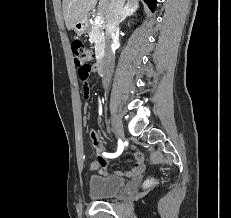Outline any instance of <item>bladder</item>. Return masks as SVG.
I'll use <instances>...</instances> for the list:
<instances>
[{
  "label": "bladder",
  "mask_w": 231,
  "mask_h": 218,
  "mask_svg": "<svg viewBox=\"0 0 231 218\" xmlns=\"http://www.w3.org/2000/svg\"><path fill=\"white\" fill-rule=\"evenodd\" d=\"M124 186V179L118 176L94 175L89 181V195L96 200L111 198L117 195Z\"/></svg>",
  "instance_id": "31cf9c89"
}]
</instances>
